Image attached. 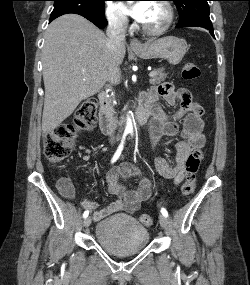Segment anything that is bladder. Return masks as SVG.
<instances>
[{"label": "bladder", "mask_w": 250, "mask_h": 285, "mask_svg": "<svg viewBox=\"0 0 250 285\" xmlns=\"http://www.w3.org/2000/svg\"><path fill=\"white\" fill-rule=\"evenodd\" d=\"M95 237L104 250L118 256L138 253L149 241L148 231L128 215H115L100 221Z\"/></svg>", "instance_id": "bladder-1"}]
</instances>
